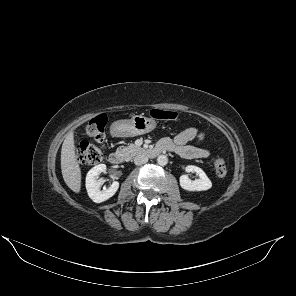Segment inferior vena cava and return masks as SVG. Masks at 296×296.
I'll return each instance as SVG.
<instances>
[{"label":"inferior vena cava","instance_id":"inferior-vena-cava-1","mask_svg":"<svg viewBox=\"0 0 296 296\" xmlns=\"http://www.w3.org/2000/svg\"><path fill=\"white\" fill-rule=\"evenodd\" d=\"M148 162V157L143 155V154H140V155H137L135 158H134V163L135 165H142V164H145Z\"/></svg>","mask_w":296,"mask_h":296}]
</instances>
